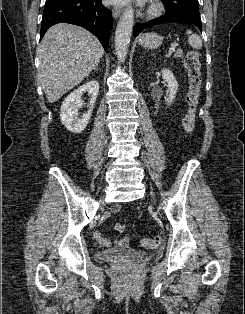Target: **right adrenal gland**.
<instances>
[{"mask_svg":"<svg viewBox=\"0 0 245 314\" xmlns=\"http://www.w3.org/2000/svg\"><path fill=\"white\" fill-rule=\"evenodd\" d=\"M94 71H97V66L94 68Z\"/></svg>","mask_w":245,"mask_h":314,"instance_id":"1","label":"right adrenal gland"}]
</instances>
